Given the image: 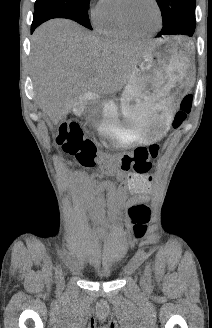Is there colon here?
Instances as JSON below:
<instances>
[{
    "instance_id": "5ec220e1",
    "label": "colon",
    "mask_w": 212,
    "mask_h": 328,
    "mask_svg": "<svg viewBox=\"0 0 212 328\" xmlns=\"http://www.w3.org/2000/svg\"><path fill=\"white\" fill-rule=\"evenodd\" d=\"M193 97L188 94L181 101L173 127L178 129L185 121L192 108ZM56 142L62 149L75 157L84 167H93L98 173H112L113 170H134L137 173H146L151 168V161L160 153V145L152 144L135 148L132 153H105L95 140L85 135L82 127L77 122H67L59 126ZM134 227L136 239H140L146 232V222L150 211L147 207L133 206L129 210Z\"/></svg>"
}]
</instances>
